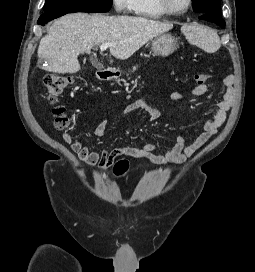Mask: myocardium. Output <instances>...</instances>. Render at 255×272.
<instances>
[{"label":"myocardium","instance_id":"obj_1","mask_svg":"<svg viewBox=\"0 0 255 272\" xmlns=\"http://www.w3.org/2000/svg\"><path fill=\"white\" fill-rule=\"evenodd\" d=\"M160 9L169 16H180L187 13L192 7L193 1L187 0V5L184 9L174 10L170 7L168 0H157Z\"/></svg>","mask_w":255,"mask_h":272}]
</instances>
